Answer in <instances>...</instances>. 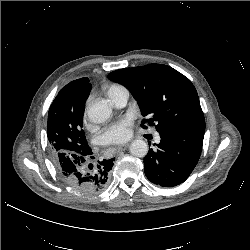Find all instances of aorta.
Returning a JSON list of instances; mask_svg holds the SVG:
<instances>
[{
	"label": "aorta",
	"instance_id": "obj_1",
	"mask_svg": "<svg viewBox=\"0 0 250 250\" xmlns=\"http://www.w3.org/2000/svg\"><path fill=\"white\" fill-rule=\"evenodd\" d=\"M112 113V105L108 100L100 99L91 103L87 109L88 119L96 124L104 123ZM130 153L133 156L143 158L148 153V145L143 140H134L130 145Z\"/></svg>",
	"mask_w": 250,
	"mask_h": 250
}]
</instances>
